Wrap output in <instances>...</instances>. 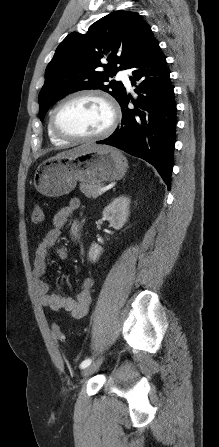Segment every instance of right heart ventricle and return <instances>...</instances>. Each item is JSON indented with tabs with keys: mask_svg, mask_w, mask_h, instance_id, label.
I'll return each mask as SVG.
<instances>
[{
	"mask_svg": "<svg viewBox=\"0 0 219 447\" xmlns=\"http://www.w3.org/2000/svg\"><path fill=\"white\" fill-rule=\"evenodd\" d=\"M47 134H48V137H49L50 141H51L53 144H56V145H62V144H64L65 142H67V141H65V140H63V139H61V138H59L58 136H56V135L53 133V131H52V129H51V126H50V119L48 120V123H47Z\"/></svg>",
	"mask_w": 219,
	"mask_h": 447,
	"instance_id": "right-heart-ventricle-1",
	"label": "right heart ventricle"
}]
</instances>
